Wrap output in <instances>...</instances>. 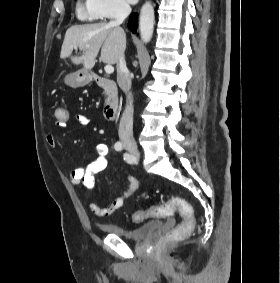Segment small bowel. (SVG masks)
I'll return each instance as SVG.
<instances>
[{"instance_id":"small-bowel-1","label":"small bowel","mask_w":280,"mask_h":283,"mask_svg":"<svg viewBox=\"0 0 280 283\" xmlns=\"http://www.w3.org/2000/svg\"><path fill=\"white\" fill-rule=\"evenodd\" d=\"M76 121L81 126H85L89 123V119L86 115L77 113L75 115ZM67 122H55L56 127L64 128ZM47 145L50 148H55L57 141L53 132H48L45 136ZM97 157L89 162L86 166L76 167L69 170V179L73 184L82 185L86 189H92L95 184V175L104 171L108 165V148L105 144H98L96 146ZM128 185L123 194L114 199L107 206H100L96 202H90V210L98 217H108L120 209L124 203L130 199L137 191L139 183L138 180L133 177H128Z\"/></svg>"}]
</instances>
